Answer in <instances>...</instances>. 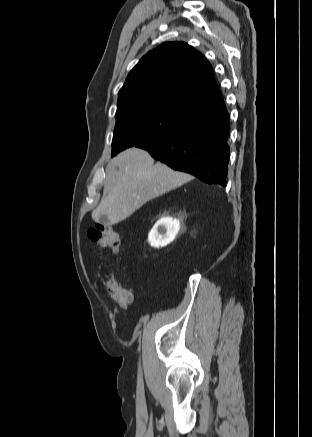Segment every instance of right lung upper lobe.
I'll return each mask as SVG.
<instances>
[{"instance_id": "right-lung-upper-lobe-1", "label": "right lung upper lobe", "mask_w": 312, "mask_h": 437, "mask_svg": "<svg viewBox=\"0 0 312 437\" xmlns=\"http://www.w3.org/2000/svg\"><path fill=\"white\" fill-rule=\"evenodd\" d=\"M220 99L206 58L186 43L166 42L132 69L118 93L117 107L159 102L197 112Z\"/></svg>"}]
</instances>
